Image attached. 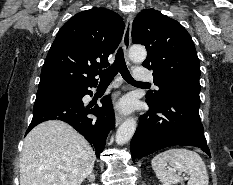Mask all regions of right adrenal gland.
Returning a JSON list of instances; mask_svg holds the SVG:
<instances>
[{"mask_svg": "<svg viewBox=\"0 0 233 185\" xmlns=\"http://www.w3.org/2000/svg\"><path fill=\"white\" fill-rule=\"evenodd\" d=\"M88 180L92 181L95 179V175L94 174H91L90 176L87 177Z\"/></svg>", "mask_w": 233, "mask_h": 185, "instance_id": "right-adrenal-gland-1", "label": "right adrenal gland"}]
</instances>
